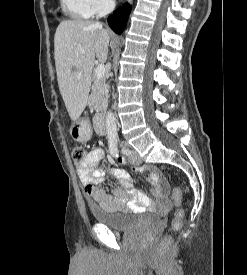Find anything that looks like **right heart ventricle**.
I'll return each instance as SVG.
<instances>
[{"instance_id": "right-heart-ventricle-1", "label": "right heart ventricle", "mask_w": 247, "mask_h": 275, "mask_svg": "<svg viewBox=\"0 0 247 275\" xmlns=\"http://www.w3.org/2000/svg\"><path fill=\"white\" fill-rule=\"evenodd\" d=\"M63 12L74 19H88L94 15L92 0H60Z\"/></svg>"}]
</instances>
